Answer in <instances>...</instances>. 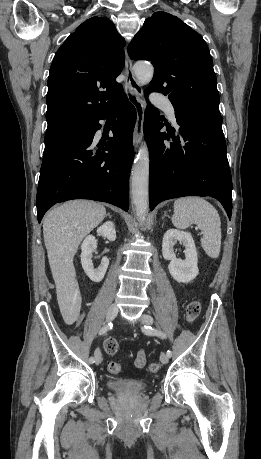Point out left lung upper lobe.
<instances>
[{
    "label": "left lung upper lobe",
    "mask_w": 261,
    "mask_h": 459,
    "mask_svg": "<svg viewBox=\"0 0 261 459\" xmlns=\"http://www.w3.org/2000/svg\"><path fill=\"white\" fill-rule=\"evenodd\" d=\"M134 60H150L148 92L167 95L183 116L221 118L219 93L209 49L202 36L176 16L155 12L128 46Z\"/></svg>",
    "instance_id": "1"
}]
</instances>
